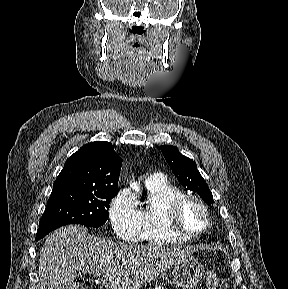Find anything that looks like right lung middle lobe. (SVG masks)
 <instances>
[{
	"instance_id": "dd1d6c3e",
	"label": "right lung middle lobe",
	"mask_w": 288,
	"mask_h": 289,
	"mask_svg": "<svg viewBox=\"0 0 288 289\" xmlns=\"http://www.w3.org/2000/svg\"><path fill=\"white\" fill-rule=\"evenodd\" d=\"M117 189L86 192L79 190L52 191L41 217L37 237L40 239L66 224L100 227L108 219L110 199Z\"/></svg>"
}]
</instances>
